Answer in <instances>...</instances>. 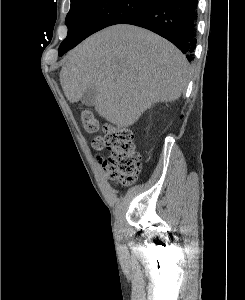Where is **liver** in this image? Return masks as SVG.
Masks as SVG:
<instances>
[{"instance_id":"liver-1","label":"liver","mask_w":245,"mask_h":300,"mask_svg":"<svg viewBox=\"0 0 245 300\" xmlns=\"http://www.w3.org/2000/svg\"><path fill=\"white\" fill-rule=\"evenodd\" d=\"M185 56L146 29L117 24L83 41L67 56L60 82L68 101H82L97 88L95 110L123 128L133 125L152 105L177 100L188 83Z\"/></svg>"}]
</instances>
